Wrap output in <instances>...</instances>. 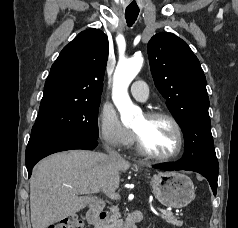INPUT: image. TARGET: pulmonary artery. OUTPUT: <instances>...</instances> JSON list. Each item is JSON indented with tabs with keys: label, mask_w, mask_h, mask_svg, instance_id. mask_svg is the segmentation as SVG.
<instances>
[{
	"label": "pulmonary artery",
	"mask_w": 238,
	"mask_h": 228,
	"mask_svg": "<svg viewBox=\"0 0 238 228\" xmlns=\"http://www.w3.org/2000/svg\"><path fill=\"white\" fill-rule=\"evenodd\" d=\"M131 95L139 100L145 101L148 98V88L144 81H135L130 88Z\"/></svg>",
	"instance_id": "obj_1"
}]
</instances>
